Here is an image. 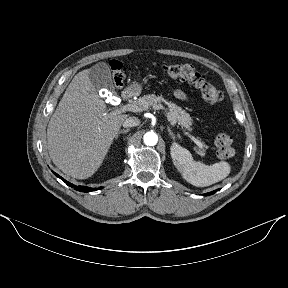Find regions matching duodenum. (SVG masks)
Listing matches in <instances>:
<instances>
[{
	"mask_svg": "<svg viewBox=\"0 0 288 288\" xmlns=\"http://www.w3.org/2000/svg\"><path fill=\"white\" fill-rule=\"evenodd\" d=\"M134 95L133 91L130 89H126L122 92V98L123 100H128L130 98H132Z\"/></svg>",
	"mask_w": 288,
	"mask_h": 288,
	"instance_id": "410a0bca",
	"label": "duodenum"
}]
</instances>
